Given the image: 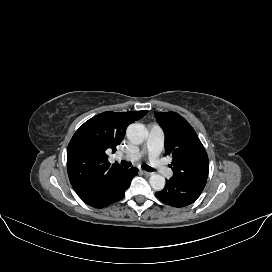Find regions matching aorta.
Masks as SVG:
<instances>
[{
	"label": "aorta",
	"mask_w": 272,
	"mask_h": 272,
	"mask_svg": "<svg viewBox=\"0 0 272 272\" xmlns=\"http://www.w3.org/2000/svg\"><path fill=\"white\" fill-rule=\"evenodd\" d=\"M126 136L133 144H141L145 140V130L143 125L132 123L127 127ZM150 186L155 191H161L165 186V178L159 174H153L149 178Z\"/></svg>",
	"instance_id": "1"
}]
</instances>
